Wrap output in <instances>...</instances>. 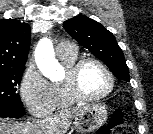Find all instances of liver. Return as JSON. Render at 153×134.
Returning <instances> with one entry per match:
<instances>
[{"mask_svg":"<svg viewBox=\"0 0 153 134\" xmlns=\"http://www.w3.org/2000/svg\"><path fill=\"white\" fill-rule=\"evenodd\" d=\"M83 108H74L60 112L47 121L33 120L18 122L7 118H0V134H50L49 132L65 133L72 120L77 117Z\"/></svg>","mask_w":153,"mask_h":134,"instance_id":"1","label":"liver"}]
</instances>
